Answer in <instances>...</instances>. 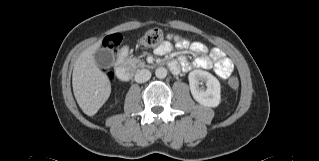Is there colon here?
<instances>
[{
  "mask_svg": "<svg viewBox=\"0 0 319 161\" xmlns=\"http://www.w3.org/2000/svg\"><path fill=\"white\" fill-rule=\"evenodd\" d=\"M163 34L162 31L159 28H152L148 31H146L142 38H141V44L145 48H152L154 46H157L162 42ZM121 43V36L119 34L113 35L109 41L108 46L112 48L113 50L119 46ZM229 86L233 90H237L239 87V81L238 78L233 76L229 80Z\"/></svg>",
  "mask_w": 319,
  "mask_h": 161,
  "instance_id": "5ec220e1",
  "label": "colon"
}]
</instances>
